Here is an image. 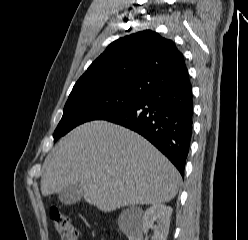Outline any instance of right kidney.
<instances>
[{"label":"right kidney","mask_w":248,"mask_h":240,"mask_svg":"<svg viewBox=\"0 0 248 240\" xmlns=\"http://www.w3.org/2000/svg\"><path fill=\"white\" fill-rule=\"evenodd\" d=\"M173 209L163 204L148 208L142 218L126 232L128 240H143V235L151 228L154 230L152 240H166L169 232ZM156 222V225L154 223Z\"/></svg>","instance_id":"obj_1"}]
</instances>
